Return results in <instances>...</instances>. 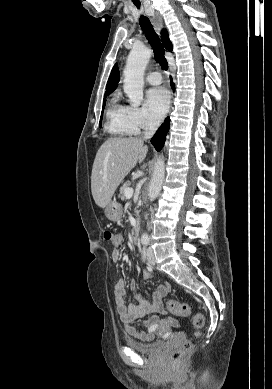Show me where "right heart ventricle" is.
I'll list each match as a JSON object with an SVG mask.
<instances>
[{
  "mask_svg": "<svg viewBox=\"0 0 272 389\" xmlns=\"http://www.w3.org/2000/svg\"><path fill=\"white\" fill-rule=\"evenodd\" d=\"M107 131L114 136H127L138 133L130 113V107L120 101L118 94L114 95L106 112Z\"/></svg>",
  "mask_w": 272,
  "mask_h": 389,
  "instance_id": "1",
  "label": "right heart ventricle"
}]
</instances>
